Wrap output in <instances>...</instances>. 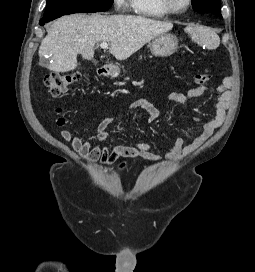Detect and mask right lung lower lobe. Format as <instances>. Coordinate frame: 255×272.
Returning a JSON list of instances; mask_svg holds the SVG:
<instances>
[{"instance_id":"right-lung-lower-lobe-1","label":"right lung lower lobe","mask_w":255,"mask_h":272,"mask_svg":"<svg viewBox=\"0 0 255 272\" xmlns=\"http://www.w3.org/2000/svg\"><path fill=\"white\" fill-rule=\"evenodd\" d=\"M63 15H53V16H46V17H43L41 20H40V25H44V23L46 22H49V21H52L56 18H59Z\"/></svg>"}]
</instances>
